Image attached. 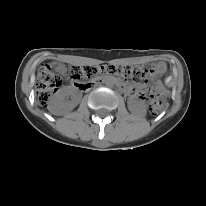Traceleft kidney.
Segmentation results:
<instances>
[{"label": "left kidney", "instance_id": "left-kidney-1", "mask_svg": "<svg viewBox=\"0 0 206 206\" xmlns=\"http://www.w3.org/2000/svg\"><path fill=\"white\" fill-rule=\"evenodd\" d=\"M128 109L132 113L144 114L145 106L140 100H132L128 105Z\"/></svg>", "mask_w": 206, "mask_h": 206}]
</instances>
